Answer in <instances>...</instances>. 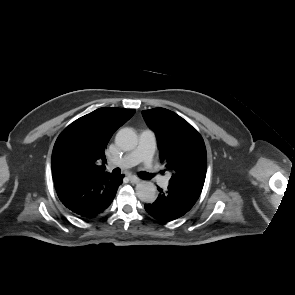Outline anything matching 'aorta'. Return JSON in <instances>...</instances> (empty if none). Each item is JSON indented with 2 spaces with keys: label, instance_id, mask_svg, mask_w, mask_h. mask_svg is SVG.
<instances>
[{
  "label": "aorta",
  "instance_id": "1",
  "mask_svg": "<svg viewBox=\"0 0 295 295\" xmlns=\"http://www.w3.org/2000/svg\"><path fill=\"white\" fill-rule=\"evenodd\" d=\"M115 143L123 150H133L138 144V137L133 129L123 128L116 134ZM156 191V186L150 181H142L136 185V195L145 203H153L156 200Z\"/></svg>",
  "mask_w": 295,
  "mask_h": 295
}]
</instances>
